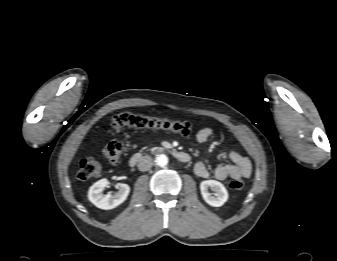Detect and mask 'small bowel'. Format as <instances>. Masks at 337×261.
<instances>
[{"instance_id":"obj_1","label":"small bowel","mask_w":337,"mask_h":261,"mask_svg":"<svg viewBox=\"0 0 337 261\" xmlns=\"http://www.w3.org/2000/svg\"><path fill=\"white\" fill-rule=\"evenodd\" d=\"M213 136L214 131L206 127L198 131L196 139L200 143H205L210 141ZM226 155L231 163L218 165L213 172L215 179L223 181L227 178H248L251 175L252 164L248 157L233 150L227 151ZM194 172L201 178H208L210 176L207 166L201 161L195 164Z\"/></svg>"}]
</instances>
